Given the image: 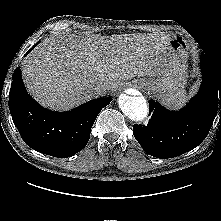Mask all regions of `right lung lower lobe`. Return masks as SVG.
I'll use <instances>...</instances> for the list:
<instances>
[{
    "instance_id": "1",
    "label": "right lung lower lobe",
    "mask_w": 221,
    "mask_h": 221,
    "mask_svg": "<svg viewBox=\"0 0 221 221\" xmlns=\"http://www.w3.org/2000/svg\"><path fill=\"white\" fill-rule=\"evenodd\" d=\"M12 79L9 110L22 139L32 149L54 157H71L82 150L97 115L112 100L99 98L68 112H53L28 95L19 68Z\"/></svg>"
}]
</instances>
